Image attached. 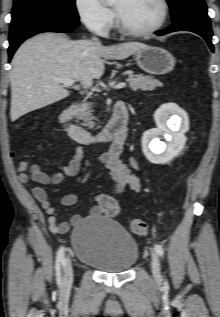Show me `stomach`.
Here are the masks:
<instances>
[{
    "instance_id": "0dacf381",
    "label": "stomach",
    "mask_w": 220,
    "mask_h": 317,
    "mask_svg": "<svg viewBox=\"0 0 220 317\" xmlns=\"http://www.w3.org/2000/svg\"><path fill=\"white\" fill-rule=\"evenodd\" d=\"M137 65L147 73L162 75L175 66L173 55L161 47L146 46L135 53Z\"/></svg>"
}]
</instances>
